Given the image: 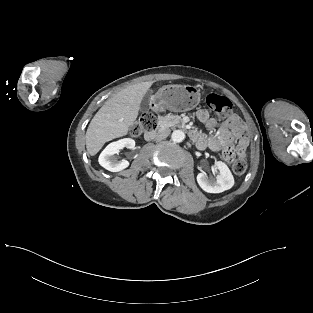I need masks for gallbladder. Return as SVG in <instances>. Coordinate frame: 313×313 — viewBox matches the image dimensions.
<instances>
[{
  "label": "gallbladder",
  "instance_id": "1",
  "mask_svg": "<svg viewBox=\"0 0 313 313\" xmlns=\"http://www.w3.org/2000/svg\"><path fill=\"white\" fill-rule=\"evenodd\" d=\"M149 98H150L149 94L145 95L143 98L142 104L145 109L148 108Z\"/></svg>",
  "mask_w": 313,
  "mask_h": 313
}]
</instances>
